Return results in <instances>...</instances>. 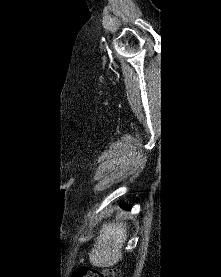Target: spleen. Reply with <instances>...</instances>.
Instances as JSON below:
<instances>
[{"mask_svg": "<svg viewBox=\"0 0 221 277\" xmlns=\"http://www.w3.org/2000/svg\"><path fill=\"white\" fill-rule=\"evenodd\" d=\"M126 238V224L122 223L117 226L105 224L89 255L90 262L97 266L116 264L121 259L119 250L125 243Z\"/></svg>", "mask_w": 221, "mask_h": 277, "instance_id": "spleen-1", "label": "spleen"}]
</instances>
